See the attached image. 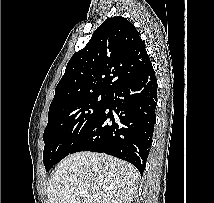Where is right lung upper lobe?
<instances>
[{"instance_id":"cb5924a9","label":"right lung upper lobe","mask_w":214,"mask_h":203,"mask_svg":"<svg viewBox=\"0 0 214 203\" xmlns=\"http://www.w3.org/2000/svg\"><path fill=\"white\" fill-rule=\"evenodd\" d=\"M152 66L145 44L126 18H107L69 60L49 111L94 93H109Z\"/></svg>"}]
</instances>
